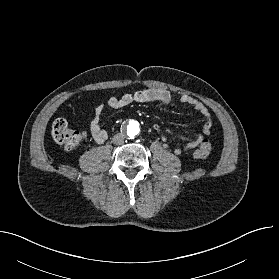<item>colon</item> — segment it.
<instances>
[{
    "label": "colon",
    "mask_w": 279,
    "mask_h": 279,
    "mask_svg": "<svg viewBox=\"0 0 279 279\" xmlns=\"http://www.w3.org/2000/svg\"><path fill=\"white\" fill-rule=\"evenodd\" d=\"M52 139L62 145L66 150L78 147L85 139V133L73 130L64 118L56 119L51 129ZM212 150V144L208 138H203L193 155L196 159L206 158Z\"/></svg>",
    "instance_id": "5ec220e1"
}]
</instances>
